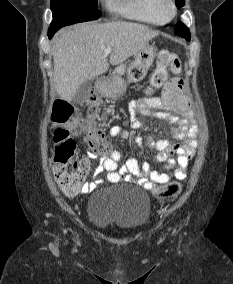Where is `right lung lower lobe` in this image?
Listing matches in <instances>:
<instances>
[{
    "instance_id": "obj_1",
    "label": "right lung lower lobe",
    "mask_w": 233,
    "mask_h": 284,
    "mask_svg": "<svg viewBox=\"0 0 233 284\" xmlns=\"http://www.w3.org/2000/svg\"><path fill=\"white\" fill-rule=\"evenodd\" d=\"M53 35H54L53 33H49V32H48L49 38H51Z\"/></svg>"
}]
</instances>
